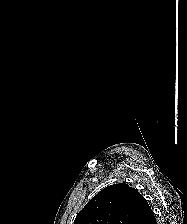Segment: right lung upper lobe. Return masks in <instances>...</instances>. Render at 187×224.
<instances>
[{"label":"right lung upper lobe","mask_w":187,"mask_h":224,"mask_svg":"<svg viewBox=\"0 0 187 224\" xmlns=\"http://www.w3.org/2000/svg\"><path fill=\"white\" fill-rule=\"evenodd\" d=\"M74 224H157L147 201L124 183L107 186L77 214Z\"/></svg>","instance_id":"right-lung-upper-lobe-1"}]
</instances>
